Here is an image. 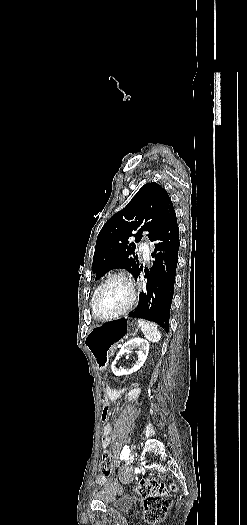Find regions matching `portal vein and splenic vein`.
<instances>
[{
	"mask_svg": "<svg viewBox=\"0 0 247 525\" xmlns=\"http://www.w3.org/2000/svg\"><path fill=\"white\" fill-rule=\"evenodd\" d=\"M122 343H118L117 348H121Z\"/></svg>",
	"mask_w": 247,
	"mask_h": 525,
	"instance_id": "obj_1",
	"label": "portal vein and splenic vein"
}]
</instances>
